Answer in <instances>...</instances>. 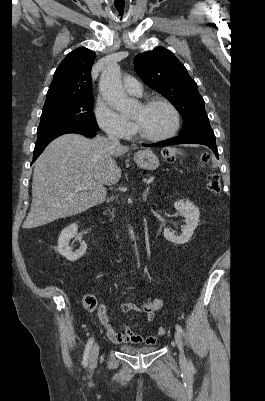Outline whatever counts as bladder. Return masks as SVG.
I'll return each instance as SVG.
<instances>
[{
  "label": "bladder",
  "mask_w": 265,
  "mask_h": 401,
  "mask_svg": "<svg viewBox=\"0 0 265 401\" xmlns=\"http://www.w3.org/2000/svg\"><path fill=\"white\" fill-rule=\"evenodd\" d=\"M156 347H145V348H137V347H132V346H123L121 347V350L127 352V353H144V352H149L155 350Z\"/></svg>",
  "instance_id": "31cf9c89"
}]
</instances>
